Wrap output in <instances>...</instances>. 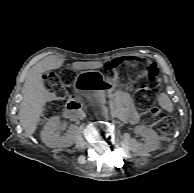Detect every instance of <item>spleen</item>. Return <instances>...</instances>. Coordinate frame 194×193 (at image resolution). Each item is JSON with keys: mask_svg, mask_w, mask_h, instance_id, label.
Listing matches in <instances>:
<instances>
[{"mask_svg": "<svg viewBox=\"0 0 194 193\" xmlns=\"http://www.w3.org/2000/svg\"><path fill=\"white\" fill-rule=\"evenodd\" d=\"M159 104L161 105V107L165 110H167L168 112H172L173 111V104L170 100V98L167 96V94L162 93L159 97Z\"/></svg>", "mask_w": 194, "mask_h": 193, "instance_id": "obj_1", "label": "spleen"}]
</instances>
